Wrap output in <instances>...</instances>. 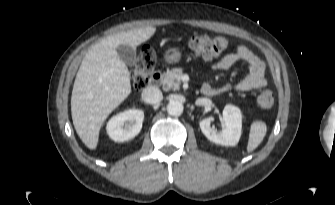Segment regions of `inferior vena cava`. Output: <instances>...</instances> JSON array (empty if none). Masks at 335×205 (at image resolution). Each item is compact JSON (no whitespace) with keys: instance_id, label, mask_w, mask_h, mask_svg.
I'll use <instances>...</instances> for the list:
<instances>
[{"instance_id":"obj_1","label":"inferior vena cava","mask_w":335,"mask_h":205,"mask_svg":"<svg viewBox=\"0 0 335 205\" xmlns=\"http://www.w3.org/2000/svg\"><path fill=\"white\" fill-rule=\"evenodd\" d=\"M162 99L163 94L157 87L150 86L142 92V100L147 104H157Z\"/></svg>"}]
</instances>
